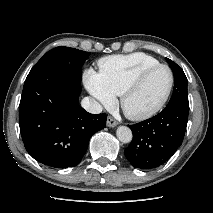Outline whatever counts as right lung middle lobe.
<instances>
[{
  "label": "right lung middle lobe",
  "instance_id": "1",
  "mask_svg": "<svg viewBox=\"0 0 213 213\" xmlns=\"http://www.w3.org/2000/svg\"><path fill=\"white\" fill-rule=\"evenodd\" d=\"M90 52L70 47H56L48 51L31 69L30 73L43 69H58L80 81L81 67Z\"/></svg>",
  "mask_w": 213,
  "mask_h": 213
}]
</instances>
